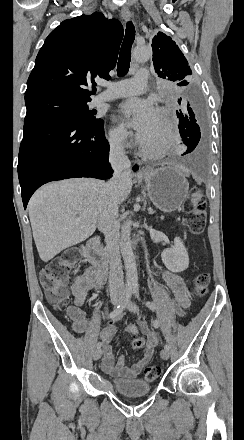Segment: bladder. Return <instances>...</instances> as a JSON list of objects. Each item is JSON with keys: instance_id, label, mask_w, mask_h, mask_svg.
I'll use <instances>...</instances> for the list:
<instances>
[{"instance_id": "obj_1", "label": "bladder", "mask_w": 244, "mask_h": 440, "mask_svg": "<svg viewBox=\"0 0 244 440\" xmlns=\"http://www.w3.org/2000/svg\"><path fill=\"white\" fill-rule=\"evenodd\" d=\"M114 391L120 392L122 395L136 396L148 394L152 387L144 382L143 378H135L130 380L114 379Z\"/></svg>"}]
</instances>
